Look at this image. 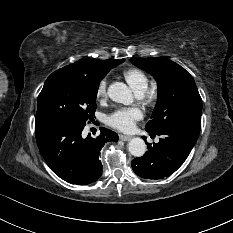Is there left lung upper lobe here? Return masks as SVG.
Returning <instances> with one entry per match:
<instances>
[{"mask_svg": "<svg viewBox=\"0 0 233 233\" xmlns=\"http://www.w3.org/2000/svg\"><path fill=\"white\" fill-rule=\"evenodd\" d=\"M157 81L158 99L146 131L160 133L179 120L201 114L202 100L193 77L177 63L164 57L131 58Z\"/></svg>", "mask_w": 233, "mask_h": 233, "instance_id": "5c2ea615", "label": "left lung upper lobe"}]
</instances>
